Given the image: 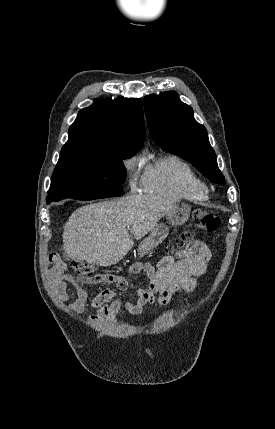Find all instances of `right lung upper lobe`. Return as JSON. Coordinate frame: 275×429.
Instances as JSON below:
<instances>
[{
  "label": "right lung upper lobe",
  "instance_id": "obj_1",
  "mask_svg": "<svg viewBox=\"0 0 275 429\" xmlns=\"http://www.w3.org/2000/svg\"><path fill=\"white\" fill-rule=\"evenodd\" d=\"M145 137L140 99H96L70 126L61 157L137 152Z\"/></svg>",
  "mask_w": 275,
  "mask_h": 429
}]
</instances>
